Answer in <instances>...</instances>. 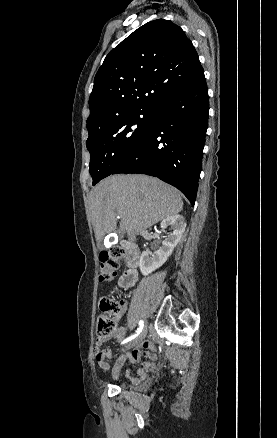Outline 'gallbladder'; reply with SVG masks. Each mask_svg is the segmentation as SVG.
I'll list each match as a JSON object with an SVG mask.
<instances>
[{
	"label": "gallbladder",
	"instance_id": "gallbladder-1",
	"mask_svg": "<svg viewBox=\"0 0 277 438\" xmlns=\"http://www.w3.org/2000/svg\"><path fill=\"white\" fill-rule=\"evenodd\" d=\"M98 248L102 251L104 248H103V244H102V242H99V244H98Z\"/></svg>",
	"mask_w": 277,
	"mask_h": 438
}]
</instances>
